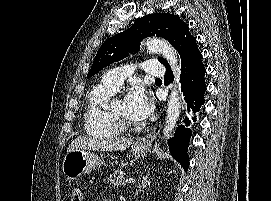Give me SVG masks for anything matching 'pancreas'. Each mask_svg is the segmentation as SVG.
I'll return each mask as SVG.
<instances>
[{"label":"pancreas","instance_id":"obj_1","mask_svg":"<svg viewBox=\"0 0 271 201\" xmlns=\"http://www.w3.org/2000/svg\"><path fill=\"white\" fill-rule=\"evenodd\" d=\"M108 181L113 184L114 186H125V177L119 171H114L112 175L108 178Z\"/></svg>","mask_w":271,"mask_h":201}]
</instances>
